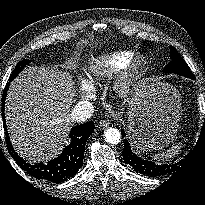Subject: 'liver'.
<instances>
[{
    "mask_svg": "<svg viewBox=\"0 0 205 205\" xmlns=\"http://www.w3.org/2000/svg\"><path fill=\"white\" fill-rule=\"evenodd\" d=\"M73 97L71 78L54 69L30 67L11 83L5 115L20 156L43 161L61 151Z\"/></svg>",
    "mask_w": 205,
    "mask_h": 205,
    "instance_id": "obj_1",
    "label": "liver"
}]
</instances>
